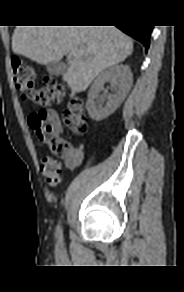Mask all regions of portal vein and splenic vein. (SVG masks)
<instances>
[{
  "instance_id": "portal-vein-and-splenic-vein-1",
  "label": "portal vein and splenic vein",
  "mask_w": 184,
  "mask_h": 292,
  "mask_svg": "<svg viewBox=\"0 0 184 292\" xmlns=\"http://www.w3.org/2000/svg\"><path fill=\"white\" fill-rule=\"evenodd\" d=\"M68 58H69V59H72V54L69 53V54H68Z\"/></svg>"
}]
</instances>
